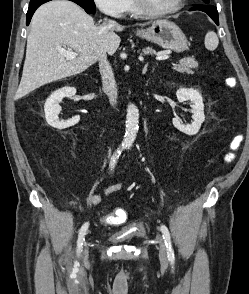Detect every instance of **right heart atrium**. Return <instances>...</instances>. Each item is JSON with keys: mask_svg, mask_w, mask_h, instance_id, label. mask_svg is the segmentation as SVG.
Here are the masks:
<instances>
[{"mask_svg": "<svg viewBox=\"0 0 249 294\" xmlns=\"http://www.w3.org/2000/svg\"><path fill=\"white\" fill-rule=\"evenodd\" d=\"M128 0H94L95 5L103 13L112 17H121L126 12Z\"/></svg>", "mask_w": 249, "mask_h": 294, "instance_id": "right-heart-atrium-1", "label": "right heart atrium"}]
</instances>
